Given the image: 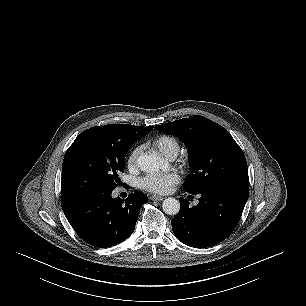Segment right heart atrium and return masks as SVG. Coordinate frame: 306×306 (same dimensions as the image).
<instances>
[{"mask_svg":"<svg viewBox=\"0 0 306 306\" xmlns=\"http://www.w3.org/2000/svg\"><path fill=\"white\" fill-rule=\"evenodd\" d=\"M142 146L134 147L128 155L127 165L130 169L134 170L138 167L140 155L142 153Z\"/></svg>","mask_w":306,"mask_h":306,"instance_id":"d8ad5b80","label":"right heart atrium"}]
</instances>
